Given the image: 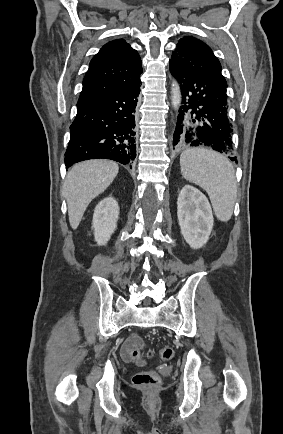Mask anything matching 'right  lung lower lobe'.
<instances>
[{
  "instance_id": "98d812e1",
  "label": "right lung lower lobe",
  "mask_w": 283,
  "mask_h": 434,
  "mask_svg": "<svg viewBox=\"0 0 283 434\" xmlns=\"http://www.w3.org/2000/svg\"><path fill=\"white\" fill-rule=\"evenodd\" d=\"M140 82L77 105L65 153L66 166L97 158L122 164H130L135 159L134 113Z\"/></svg>"
}]
</instances>
